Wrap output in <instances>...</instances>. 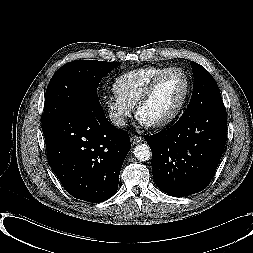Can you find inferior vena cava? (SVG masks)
<instances>
[{
	"mask_svg": "<svg viewBox=\"0 0 253 253\" xmlns=\"http://www.w3.org/2000/svg\"><path fill=\"white\" fill-rule=\"evenodd\" d=\"M110 119H111V122L115 126H125L126 125V119L123 116L111 115Z\"/></svg>",
	"mask_w": 253,
	"mask_h": 253,
	"instance_id": "602c4592",
	"label": "inferior vena cava"
}]
</instances>
